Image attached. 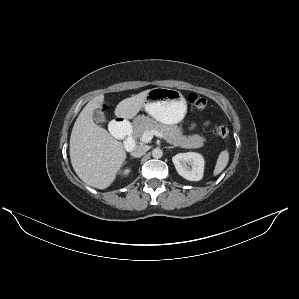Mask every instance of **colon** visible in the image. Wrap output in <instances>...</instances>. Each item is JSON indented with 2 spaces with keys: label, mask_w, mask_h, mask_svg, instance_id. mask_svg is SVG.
<instances>
[{
  "label": "colon",
  "mask_w": 299,
  "mask_h": 299,
  "mask_svg": "<svg viewBox=\"0 0 299 299\" xmlns=\"http://www.w3.org/2000/svg\"><path fill=\"white\" fill-rule=\"evenodd\" d=\"M187 99L193 109L203 110L207 106L206 99L197 93H190ZM216 131L221 138H226L229 135V128L226 125H219Z\"/></svg>",
  "instance_id": "5ec220e1"
}]
</instances>
